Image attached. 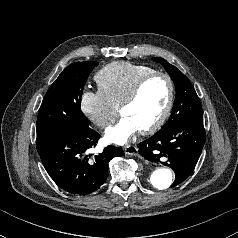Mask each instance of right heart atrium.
I'll return each mask as SVG.
<instances>
[{
  "mask_svg": "<svg viewBox=\"0 0 238 238\" xmlns=\"http://www.w3.org/2000/svg\"><path fill=\"white\" fill-rule=\"evenodd\" d=\"M84 115L97 127L109 126L116 116L115 106L99 90H86L80 101Z\"/></svg>",
  "mask_w": 238,
  "mask_h": 238,
  "instance_id": "d8ad5b80",
  "label": "right heart atrium"
}]
</instances>
